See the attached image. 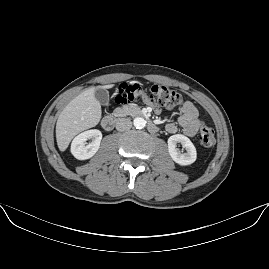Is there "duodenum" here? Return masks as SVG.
Wrapping results in <instances>:
<instances>
[{"label":"duodenum","instance_id":"obj_1","mask_svg":"<svg viewBox=\"0 0 269 269\" xmlns=\"http://www.w3.org/2000/svg\"><path fill=\"white\" fill-rule=\"evenodd\" d=\"M131 112L135 116L147 118V113L142 110L133 109ZM115 123H116V117L113 115H106L101 121L103 129L106 131L112 130L115 126ZM147 129L151 133H156L159 130V127L151 120H147Z\"/></svg>","mask_w":269,"mask_h":269}]
</instances>
